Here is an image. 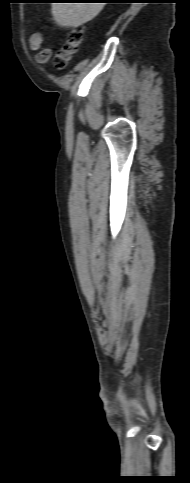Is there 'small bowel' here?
<instances>
[{"label": "small bowel", "instance_id": "c3829d8e", "mask_svg": "<svg viewBox=\"0 0 190 483\" xmlns=\"http://www.w3.org/2000/svg\"><path fill=\"white\" fill-rule=\"evenodd\" d=\"M55 20L52 17L45 19V23L52 24ZM45 32L39 30L31 35L29 39V46L33 51H39L36 55V59L39 63L45 64L51 57V49L49 47H43Z\"/></svg>", "mask_w": 190, "mask_h": 483}]
</instances>
